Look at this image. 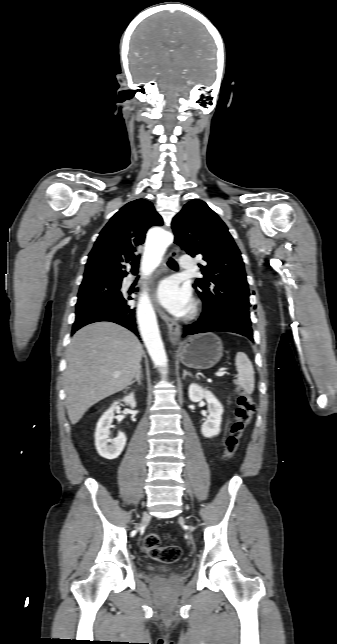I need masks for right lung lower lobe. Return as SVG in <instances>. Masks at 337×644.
Here are the masks:
<instances>
[{
  "instance_id": "obj_1",
  "label": "right lung lower lobe",
  "mask_w": 337,
  "mask_h": 644,
  "mask_svg": "<svg viewBox=\"0 0 337 644\" xmlns=\"http://www.w3.org/2000/svg\"><path fill=\"white\" fill-rule=\"evenodd\" d=\"M131 272L136 274L137 270ZM130 293H121L110 299L76 307V319L73 324L72 334L87 324L110 321L126 327L139 336L135 308L128 305V301L132 300Z\"/></svg>"
}]
</instances>
